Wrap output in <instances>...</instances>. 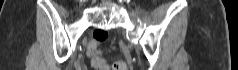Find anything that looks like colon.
<instances>
[{"instance_id": "colon-1", "label": "colon", "mask_w": 238, "mask_h": 70, "mask_svg": "<svg viewBox=\"0 0 238 70\" xmlns=\"http://www.w3.org/2000/svg\"><path fill=\"white\" fill-rule=\"evenodd\" d=\"M107 36L108 34L105 31L98 30L95 32V39L97 41L105 40ZM88 54L92 56V65L97 70H126V64L122 61L108 65L106 61L99 56V50L95 42L89 46Z\"/></svg>"}]
</instances>
